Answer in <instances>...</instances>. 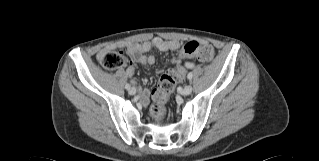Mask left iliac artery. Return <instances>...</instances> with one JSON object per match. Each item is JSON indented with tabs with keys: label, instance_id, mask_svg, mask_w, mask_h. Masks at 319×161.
Masks as SVG:
<instances>
[{
	"label": "left iliac artery",
	"instance_id": "obj_1",
	"mask_svg": "<svg viewBox=\"0 0 319 161\" xmlns=\"http://www.w3.org/2000/svg\"><path fill=\"white\" fill-rule=\"evenodd\" d=\"M192 77H193L192 72H189V73H188V75H187V78H188L189 80H191V79H192Z\"/></svg>",
	"mask_w": 319,
	"mask_h": 161
}]
</instances>
